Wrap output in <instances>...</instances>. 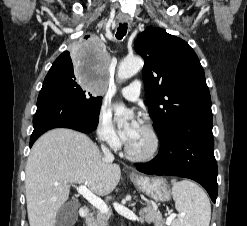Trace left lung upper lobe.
Instances as JSON below:
<instances>
[{"instance_id": "1", "label": "left lung upper lobe", "mask_w": 247, "mask_h": 226, "mask_svg": "<svg viewBox=\"0 0 247 226\" xmlns=\"http://www.w3.org/2000/svg\"><path fill=\"white\" fill-rule=\"evenodd\" d=\"M134 48L145 61V95L160 140L194 115L212 113L203 68L187 42L164 29L148 27Z\"/></svg>"}]
</instances>
